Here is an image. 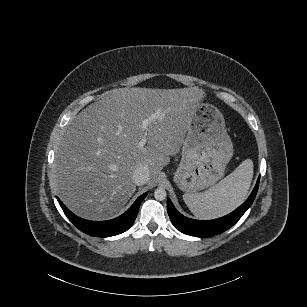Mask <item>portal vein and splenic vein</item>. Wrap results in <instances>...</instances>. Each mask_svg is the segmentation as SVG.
<instances>
[{"label": "portal vein and splenic vein", "mask_w": 307, "mask_h": 307, "mask_svg": "<svg viewBox=\"0 0 307 307\" xmlns=\"http://www.w3.org/2000/svg\"><path fill=\"white\" fill-rule=\"evenodd\" d=\"M165 116V113L162 112L161 110H157L155 113H153L151 116H149L148 118H145L142 120V128L143 129H147L148 128V125L151 121H155V120H158V119H162L163 117ZM147 133L145 134V136L139 141L138 143V148H144L146 142H147Z\"/></svg>", "instance_id": "18ae733b"}]
</instances>
